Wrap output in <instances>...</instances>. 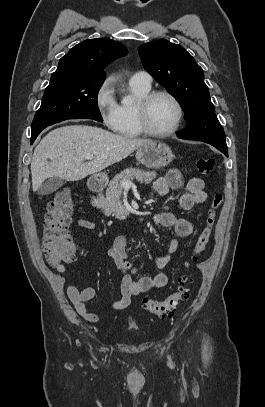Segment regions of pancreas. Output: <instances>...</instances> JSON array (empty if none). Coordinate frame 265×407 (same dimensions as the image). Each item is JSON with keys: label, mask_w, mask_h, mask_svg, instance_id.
I'll use <instances>...</instances> for the list:
<instances>
[{"label": "pancreas", "mask_w": 265, "mask_h": 407, "mask_svg": "<svg viewBox=\"0 0 265 407\" xmlns=\"http://www.w3.org/2000/svg\"><path fill=\"white\" fill-rule=\"evenodd\" d=\"M156 178V172L144 171L138 168H128L117 174L109 183L106 190V196H99L97 199V206L107 216H115L116 218H123L127 214L125 206L121 202V195L123 181H133L136 179L140 183H151Z\"/></svg>", "instance_id": "obj_1"}]
</instances>
